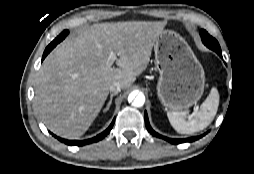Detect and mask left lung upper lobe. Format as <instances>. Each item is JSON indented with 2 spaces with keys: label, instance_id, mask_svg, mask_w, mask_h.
I'll list each match as a JSON object with an SVG mask.
<instances>
[{
  "label": "left lung upper lobe",
  "instance_id": "obj_1",
  "mask_svg": "<svg viewBox=\"0 0 254 174\" xmlns=\"http://www.w3.org/2000/svg\"><path fill=\"white\" fill-rule=\"evenodd\" d=\"M200 35L202 38L203 43L210 49H212L213 51H215L216 53L221 52L219 43L217 42V40L215 38H213L212 36H210L205 30H201L200 31Z\"/></svg>",
  "mask_w": 254,
  "mask_h": 174
}]
</instances>
